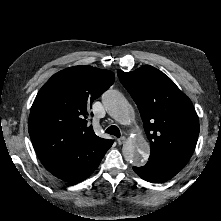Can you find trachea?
<instances>
[{
	"label": "trachea",
	"mask_w": 221,
	"mask_h": 221,
	"mask_svg": "<svg viewBox=\"0 0 221 221\" xmlns=\"http://www.w3.org/2000/svg\"><path fill=\"white\" fill-rule=\"evenodd\" d=\"M105 132L108 133V134L114 135L118 138L120 137V130L115 125H112V126L108 127Z\"/></svg>",
	"instance_id": "3493384b"
}]
</instances>
